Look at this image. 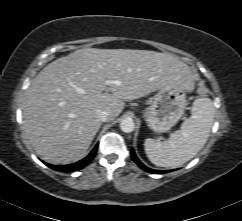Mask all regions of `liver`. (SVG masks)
<instances>
[{
	"label": "liver",
	"mask_w": 242,
	"mask_h": 221,
	"mask_svg": "<svg viewBox=\"0 0 242 221\" xmlns=\"http://www.w3.org/2000/svg\"><path fill=\"white\" fill-rule=\"evenodd\" d=\"M191 68L170 53L84 48L49 63L32 80L23 103V129L46 162L82 159L101 121L120 115L124 101L144 97L164 85L192 89ZM109 82V83H107Z\"/></svg>",
	"instance_id": "1"
}]
</instances>
